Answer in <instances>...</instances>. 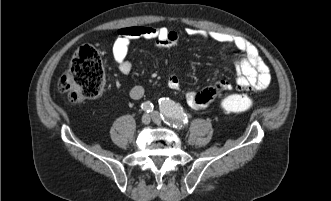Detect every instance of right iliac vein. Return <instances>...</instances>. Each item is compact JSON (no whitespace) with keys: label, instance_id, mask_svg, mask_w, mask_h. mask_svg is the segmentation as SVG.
I'll use <instances>...</instances> for the list:
<instances>
[{"label":"right iliac vein","instance_id":"obj_1","mask_svg":"<svg viewBox=\"0 0 331 201\" xmlns=\"http://www.w3.org/2000/svg\"><path fill=\"white\" fill-rule=\"evenodd\" d=\"M150 121H151V116L149 114H144L142 116V123L143 124L147 125V124L150 123Z\"/></svg>","mask_w":331,"mask_h":201}]
</instances>
